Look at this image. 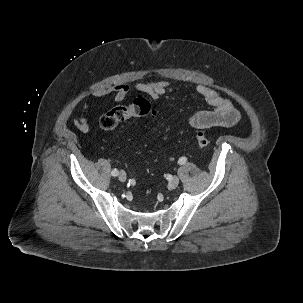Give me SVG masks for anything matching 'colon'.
<instances>
[{
    "label": "colon",
    "mask_w": 303,
    "mask_h": 303,
    "mask_svg": "<svg viewBox=\"0 0 303 303\" xmlns=\"http://www.w3.org/2000/svg\"><path fill=\"white\" fill-rule=\"evenodd\" d=\"M153 115H155L153 105L147 99L138 97L129 105H117L109 109L101 116L99 125L104 131H112L129 118ZM195 138L201 148H206L211 143L210 138L203 131H197Z\"/></svg>",
    "instance_id": "1"
}]
</instances>
